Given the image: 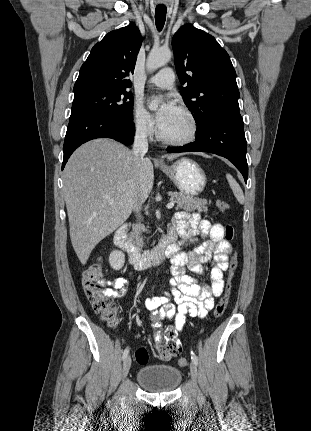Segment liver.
Returning <instances> with one entry per match:
<instances>
[{
	"label": "liver",
	"mask_w": 311,
	"mask_h": 431,
	"mask_svg": "<svg viewBox=\"0 0 311 431\" xmlns=\"http://www.w3.org/2000/svg\"><path fill=\"white\" fill-rule=\"evenodd\" d=\"M179 156L164 158L171 162ZM63 182L72 245L85 265L95 245L122 225L137 204L146 202L153 190L154 168L148 158L137 162L123 144L99 138L72 154Z\"/></svg>",
	"instance_id": "obj_1"
}]
</instances>
